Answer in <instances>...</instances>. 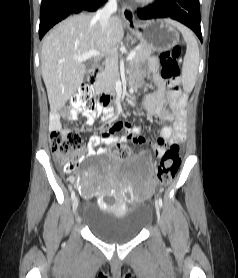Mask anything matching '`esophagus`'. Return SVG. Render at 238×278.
I'll return each instance as SVG.
<instances>
[{
    "instance_id": "34e87169",
    "label": "esophagus",
    "mask_w": 238,
    "mask_h": 278,
    "mask_svg": "<svg viewBox=\"0 0 238 278\" xmlns=\"http://www.w3.org/2000/svg\"><path fill=\"white\" fill-rule=\"evenodd\" d=\"M122 17H123L124 21L129 25L135 23V17H134L133 10L131 9V7H129L127 5H123V7H122Z\"/></svg>"
}]
</instances>
